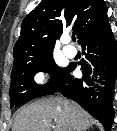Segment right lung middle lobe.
I'll return each mask as SVG.
<instances>
[{
	"label": "right lung middle lobe",
	"mask_w": 117,
	"mask_h": 131,
	"mask_svg": "<svg viewBox=\"0 0 117 131\" xmlns=\"http://www.w3.org/2000/svg\"><path fill=\"white\" fill-rule=\"evenodd\" d=\"M39 71L52 74L49 84L37 85L34 82L33 76ZM65 71L66 68L56 66L52 54L37 62L13 68L9 91L10 107L57 92L62 87Z\"/></svg>",
	"instance_id": "1"
}]
</instances>
